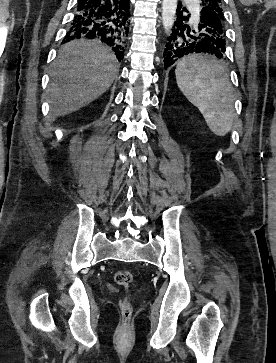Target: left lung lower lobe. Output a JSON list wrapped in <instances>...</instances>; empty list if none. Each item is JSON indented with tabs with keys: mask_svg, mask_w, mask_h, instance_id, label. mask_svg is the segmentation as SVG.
I'll return each instance as SVG.
<instances>
[{
	"mask_svg": "<svg viewBox=\"0 0 276 363\" xmlns=\"http://www.w3.org/2000/svg\"><path fill=\"white\" fill-rule=\"evenodd\" d=\"M178 4L177 19L173 24L172 33L167 38L168 43L163 53L164 69L167 70L181 58L196 53L214 54L218 58L225 57L226 43L221 37L223 33L222 24L217 16L209 8H202L201 16L194 24L188 23L190 14Z\"/></svg>",
	"mask_w": 276,
	"mask_h": 363,
	"instance_id": "left-lung-lower-lobe-1",
	"label": "left lung lower lobe"
}]
</instances>
